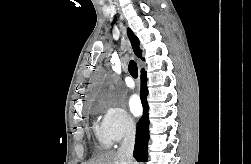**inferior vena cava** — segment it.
Listing matches in <instances>:
<instances>
[{"instance_id":"inferior-vena-cava-1","label":"inferior vena cava","mask_w":251,"mask_h":164,"mask_svg":"<svg viewBox=\"0 0 251 164\" xmlns=\"http://www.w3.org/2000/svg\"><path fill=\"white\" fill-rule=\"evenodd\" d=\"M136 127L133 120H129L126 125V132L118 154L123 164H134L133 162V149L135 144Z\"/></svg>"}]
</instances>
